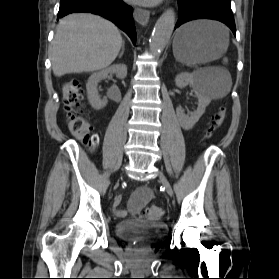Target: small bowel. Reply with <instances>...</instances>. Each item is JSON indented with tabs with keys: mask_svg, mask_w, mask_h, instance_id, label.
I'll return each instance as SVG.
<instances>
[{
	"mask_svg": "<svg viewBox=\"0 0 279 279\" xmlns=\"http://www.w3.org/2000/svg\"><path fill=\"white\" fill-rule=\"evenodd\" d=\"M152 198V191L147 187L138 188L131 196L128 204V211L131 214L138 213L142 207ZM120 198H117L113 204V212L117 217H124L127 211L119 207Z\"/></svg>",
	"mask_w": 279,
	"mask_h": 279,
	"instance_id": "c3829d8e",
	"label": "small bowel"
}]
</instances>
